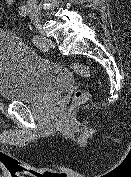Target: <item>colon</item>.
<instances>
[{
    "instance_id": "obj_1",
    "label": "colon",
    "mask_w": 131,
    "mask_h": 177,
    "mask_svg": "<svg viewBox=\"0 0 131 177\" xmlns=\"http://www.w3.org/2000/svg\"><path fill=\"white\" fill-rule=\"evenodd\" d=\"M16 0H0V8L4 12L8 13L12 11V9L15 7ZM68 67L75 72L76 74L84 77V78H90L91 72L90 70L83 64L80 63H69ZM73 99L75 103H81L88 99V93L84 90H76L73 96Z\"/></svg>"
}]
</instances>
